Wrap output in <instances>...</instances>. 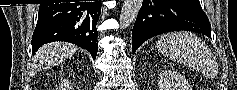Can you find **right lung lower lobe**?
Listing matches in <instances>:
<instances>
[{
  "mask_svg": "<svg viewBox=\"0 0 237 90\" xmlns=\"http://www.w3.org/2000/svg\"><path fill=\"white\" fill-rule=\"evenodd\" d=\"M100 10V1L40 4L32 36V53L48 42L66 41L88 50L95 59Z\"/></svg>",
  "mask_w": 237,
  "mask_h": 90,
  "instance_id": "right-lung-lower-lobe-1",
  "label": "right lung lower lobe"
}]
</instances>
